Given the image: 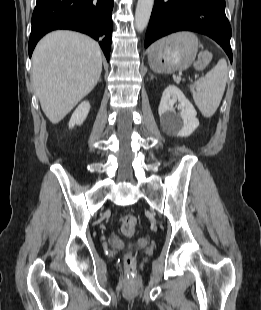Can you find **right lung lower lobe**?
<instances>
[{"instance_id":"right-lung-lower-lobe-1","label":"right lung lower lobe","mask_w":261,"mask_h":310,"mask_svg":"<svg viewBox=\"0 0 261 310\" xmlns=\"http://www.w3.org/2000/svg\"><path fill=\"white\" fill-rule=\"evenodd\" d=\"M113 0H37L32 15L28 52L31 57L42 36L55 29L83 32L99 40L109 61Z\"/></svg>"}]
</instances>
